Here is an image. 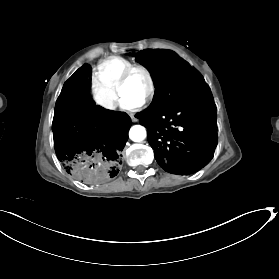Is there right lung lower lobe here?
<instances>
[{
  "label": "right lung lower lobe",
  "mask_w": 279,
  "mask_h": 279,
  "mask_svg": "<svg viewBox=\"0 0 279 279\" xmlns=\"http://www.w3.org/2000/svg\"><path fill=\"white\" fill-rule=\"evenodd\" d=\"M89 69L84 64L64 83L52 127L56 156L66 172L100 185L119 173L131 121L125 112L95 104L86 83Z\"/></svg>",
  "instance_id": "98d812e1"
}]
</instances>
